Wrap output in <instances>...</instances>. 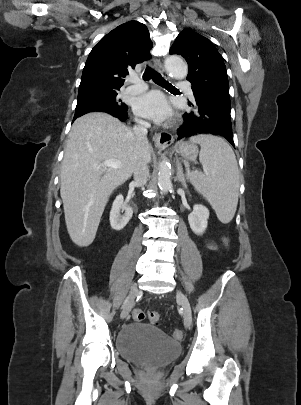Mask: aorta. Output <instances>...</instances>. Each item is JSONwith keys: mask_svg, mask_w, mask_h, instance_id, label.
Here are the masks:
<instances>
[{"mask_svg": "<svg viewBox=\"0 0 301 405\" xmlns=\"http://www.w3.org/2000/svg\"><path fill=\"white\" fill-rule=\"evenodd\" d=\"M165 68L176 79H184L188 73L187 64L179 56L167 57ZM158 186L163 193H167L172 187L171 166L168 160H162L159 164Z\"/></svg>", "mask_w": 301, "mask_h": 405, "instance_id": "obj_1", "label": "aorta"}]
</instances>
